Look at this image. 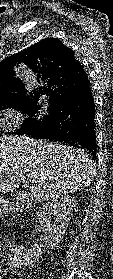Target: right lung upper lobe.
<instances>
[{
    "mask_svg": "<svg viewBox=\"0 0 113 279\" xmlns=\"http://www.w3.org/2000/svg\"><path fill=\"white\" fill-rule=\"evenodd\" d=\"M21 62L43 84L28 96L24 84L13 70L15 64ZM87 80L88 76L76 60L73 50L58 38H45L0 62V108L37 103L43 94H46L49 103L58 105L74 97Z\"/></svg>",
    "mask_w": 113,
    "mask_h": 279,
    "instance_id": "1",
    "label": "right lung upper lobe"
}]
</instances>
